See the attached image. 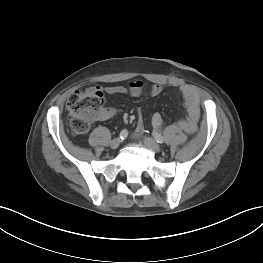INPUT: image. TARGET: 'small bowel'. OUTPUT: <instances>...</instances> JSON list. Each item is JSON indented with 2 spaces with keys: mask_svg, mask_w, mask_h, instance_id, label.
<instances>
[{
  "mask_svg": "<svg viewBox=\"0 0 263 263\" xmlns=\"http://www.w3.org/2000/svg\"><path fill=\"white\" fill-rule=\"evenodd\" d=\"M91 89H95L99 91L102 90L101 87H94ZM162 89H163L162 86L159 84H154L147 87L142 81L136 80L129 83L127 87L120 85L106 87L105 92L110 95L129 94L133 97H138L145 93L149 94L150 96H157L162 92ZM180 91L183 95L188 111V117L181 122V126L184 130H186V132L192 131L195 128L200 115L199 96L197 92L189 85H182L180 87ZM114 113L115 112L113 109L107 108L103 110L99 118L103 120L108 119L111 116H113ZM151 123L154 128L159 129L163 124V119L161 115L159 113H154L151 118ZM142 131H143V122H142L141 113L139 112V122L137 126L136 136L139 135ZM199 133H201V131Z\"/></svg>",
  "mask_w": 263,
  "mask_h": 263,
  "instance_id": "small-bowel-1",
  "label": "small bowel"
}]
</instances>
